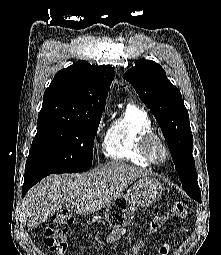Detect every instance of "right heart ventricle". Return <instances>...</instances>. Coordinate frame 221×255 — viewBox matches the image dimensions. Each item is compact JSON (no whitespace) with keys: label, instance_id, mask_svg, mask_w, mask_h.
<instances>
[{"label":"right heart ventricle","instance_id":"obj_1","mask_svg":"<svg viewBox=\"0 0 221 255\" xmlns=\"http://www.w3.org/2000/svg\"><path fill=\"white\" fill-rule=\"evenodd\" d=\"M153 132V124L147 111L135 104L112 118L103 138L105 157L125 161L137 166H150L139 149L141 137Z\"/></svg>","mask_w":221,"mask_h":255}]
</instances>
